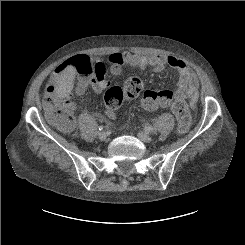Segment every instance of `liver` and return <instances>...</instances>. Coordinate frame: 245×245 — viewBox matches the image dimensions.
Here are the masks:
<instances>
[{"label":"liver","mask_w":245,"mask_h":245,"mask_svg":"<svg viewBox=\"0 0 245 245\" xmlns=\"http://www.w3.org/2000/svg\"><path fill=\"white\" fill-rule=\"evenodd\" d=\"M75 69L69 67L61 76L60 85L57 91L59 96L67 95L73 88Z\"/></svg>","instance_id":"1"}]
</instances>
